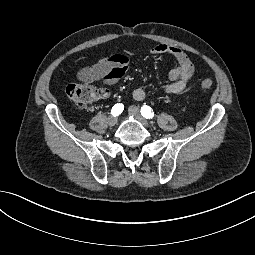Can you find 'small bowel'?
<instances>
[{
	"label": "small bowel",
	"instance_id": "small-bowel-1",
	"mask_svg": "<svg viewBox=\"0 0 255 255\" xmlns=\"http://www.w3.org/2000/svg\"><path fill=\"white\" fill-rule=\"evenodd\" d=\"M150 53L153 55H170L175 58L178 66L169 72L170 83L164 87L163 91L165 94L183 92L190 84L194 73V65L187 54L180 48L166 44L153 46ZM128 63V58L125 55L114 54L80 69L77 73V79L87 83L100 81L105 85H112L125 74ZM101 95L107 96L108 90L102 89ZM132 95L136 101H143L146 99L147 93L139 87L134 89Z\"/></svg>",
	"mask_w": 255,
	"mask_h": 255
}]
</instances>
